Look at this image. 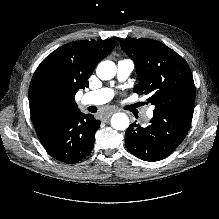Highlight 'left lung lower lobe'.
I'll use <instances>...</instances> for the list:
<instances>
[{"label": "left lung lower lobe", "instance_id": "1", "mask_svg": "<svg viewBox=\"0 0 219 219\" xmlns=\"http://www.w3.org/2000/svg\"><path fill=\"white\" fill-rule=\"evenodd\" d=\"M193 111L194 106L154 111L150 125L143 128L134 123L126 130L127 148L145 161H158L169 156L187 135Z\"/></svg>", "mask_w": 219, "mask_h": 219}]
</instances>
